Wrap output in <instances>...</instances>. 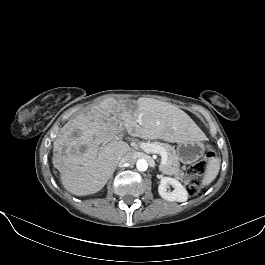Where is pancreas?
Segmentation results:
<instances>
[{"mask_svg":"<svg viewBox=\"0 0 265 265\" xmlns=\"http://www.w3.org/2000/svg\"><path fill=\"white\" fill-rule=\"evenodd\" d=\"M152 143L161 146L167 152L168 160L166 164H160V171L166 175H174L176 178L181 179L183 173L180 170V163L175 148L168 143H162L160 141H154Z\"/></svg>","mask_w":265,"mask_h":265,"instance_id":"pancreas-1","label":"pancreas"}]
</instances>
